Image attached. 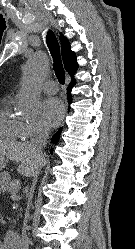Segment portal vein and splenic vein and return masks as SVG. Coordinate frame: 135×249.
Segmentation results:
<instances>
[{
    "mask_svg": "<svg viewBox=\"0 0 135 249\" xmlns=\"http://www.w3.org/2000/svg\"><path fill=\"white\" fill-rule=\"evenodd\" d=\"M18 198H20V197H18V196H17V197H15V198H12V199H13V200H18Z\"/></svg>",
    "mask_w": 135,
    "mask_h": 249,
    "instance_id": "portal-vein-and-splenic-vein-1",
    "label": "portal vein and splenic vein"
}]
</instances>
